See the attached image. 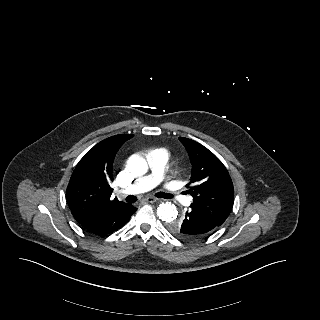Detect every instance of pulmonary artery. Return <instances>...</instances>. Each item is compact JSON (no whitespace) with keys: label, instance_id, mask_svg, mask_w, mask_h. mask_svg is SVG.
<instances>
[{"label":"pulmonary artery","instance_id":"e3ab8cb5","mask_svg":"<svg viewBox=\"0 0 320 320\" xmlns=\"http://www.w3.org/2000/svg\"><path fill=\"white\" fill-rule=\"evenodd\" d=\"M168 153L163 149L152 150L147 154V160L150 167V174L138 178L133 184L128 186L124 193L138 194L146 192L164 180L165 170L168 162ZM168 194L179 201L185 200V197L177 190L173 184L167 185Z\"/></svg>","mask_w":320,"mask_h":320}]
</instances>
